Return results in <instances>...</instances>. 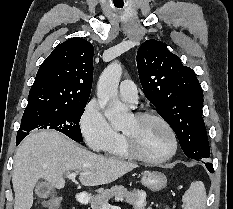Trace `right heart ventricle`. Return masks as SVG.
<instances>
[{
  "label": "right heart ventricle",
  "instance_id": "obj_1",
  "mask_svg": "<svg viewBox=\"0 0 233 209\" xmlns=\"http://www.w3.org/2000/svg\"><path fill=\"white\" fill-rule=\"evenodd\" d=\"M104 151L106 155L113 158L129 159L131 157L125 147L124 138L122 135H119L118 140Z\"/></svg>",
  "mask_w": 233,
  "mask_h": 209
}]
</instances>
